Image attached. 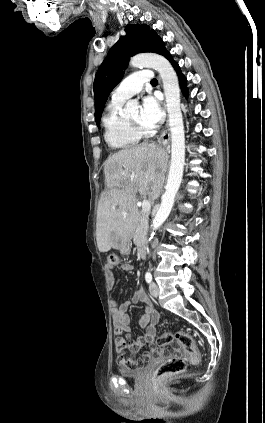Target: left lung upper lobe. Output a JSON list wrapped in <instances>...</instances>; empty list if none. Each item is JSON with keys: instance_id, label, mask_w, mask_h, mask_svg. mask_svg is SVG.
Instances as JSON below:
<instances>
[{"instance_id": "obj_1", "label": "left lung upper lobe", "mask_w": 265, "mask_h": 423, "mask_svg": "<svg viewBox=\"0 0 265 423\" xmlns=\"http://www.w3.org/2000/svg\"><path fill=\"white\" fill-rule=\"evenodd\" d=\"M100 65L93 84L95 121L99 126L103 107L110 92L121 81L131 56L141 52L164 55L167 50L161 38L148 25L133 24L125 29Z\"/></svg>"}]
</instances>
